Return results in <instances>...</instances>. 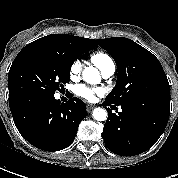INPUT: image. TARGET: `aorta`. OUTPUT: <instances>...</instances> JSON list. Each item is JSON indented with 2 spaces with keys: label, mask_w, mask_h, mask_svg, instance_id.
I'll list each match as a JSON object with an SVG mask.
<instances>
[{
  "label": "aorta",
  "mask_w": 178,
  "mask_h": 178,
  "mask_svg": "<svg viewBox=\"0 0 178 178\" xmlns=\"http://www.w3.org/2000/svg\"><path fill=\"white\" fill-rule=\"evenodd\" d=\"M83 80L90 84H96L100 81V75L93 66L86 67L82 73ZM93 117L97 121H105L107 119V111L103 108H95L93 110Z\"/></svg>",
  "instance_id": "aorta-1"
}]
</instances>
